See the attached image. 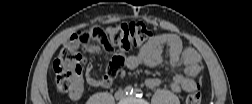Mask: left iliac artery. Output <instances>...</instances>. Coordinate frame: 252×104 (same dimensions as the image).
Returning <instances> with one entry per match:
<instances>
[{
	"mask_svg": "<svg viewBox=\"0 0 252 104\" xmlns=\"http://www.w3.org/2000/svg\"><path fill=\"white\" fill-rule=\"evenodd\" d=\"M134 94H135L136 97H142V96H143V92H142V90L139 89V88H136V89L134 90Z\"/></svg>",
	"mask_w": 252,
	"mask_h": 104,
	"instance_id": "left-iliac-artery-1",
	"label": "left iliac artery"
}]
</instances>
